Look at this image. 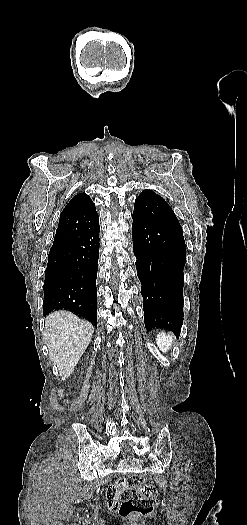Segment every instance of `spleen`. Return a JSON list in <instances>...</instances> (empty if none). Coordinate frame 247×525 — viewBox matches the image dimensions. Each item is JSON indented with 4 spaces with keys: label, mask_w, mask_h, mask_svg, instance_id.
I'll use <instances>...</instances> for the list:
<instances>
[{
    "label": "spleen",
    "mask_w": 247,
    "mask_h": 525,
    "mask_svg": "<svg viewBox=\"0 0 247 525\" xmlns=\"http://www.w3.org/2000/svg\"><path fill=\"white\" fill-rule=\"evenodd\" d=\"M156 345L161 353H168L173 345L172 335H167V333H158Z\"/></svg>",
    "instance_id": "obj_1"
}]
</instances>
